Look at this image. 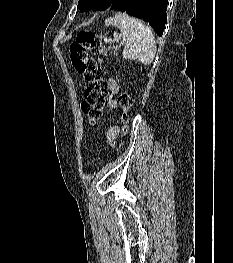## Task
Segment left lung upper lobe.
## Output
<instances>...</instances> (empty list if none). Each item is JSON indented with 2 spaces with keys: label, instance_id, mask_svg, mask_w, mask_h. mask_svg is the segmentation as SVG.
<instances>
[{
  "label": "left lung upper lobe",
  "instance_id": "1",
  "mask_svg": "<svg viewBox=\"0 0 233 263\" xmlns=\"http://www.w3.org/2000/svg\"><path fill=\"white\" fill-rule=\"evenodd\" d=\"M115 0H79L78 8L81 11L105 10L109 8Z\"/></svg>",
  "mask_w": 233,
  "mask_h": 263
}]
</instances>
